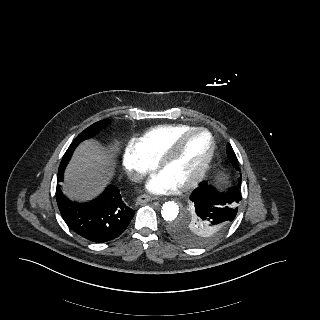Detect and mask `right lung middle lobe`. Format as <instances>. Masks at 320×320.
Instances as JSON below:
<instances>
[{
  "instance_id": "right-lung-middle-lobe-1",
  "label": "right lung middle lobe",
  "mask_w": 320,
  "mask_h": 320,
  "mask_svg": "<svg viewBox=\"0 0 320 320\" xmlns=\"http://www.w3.org/2000/svg\"><path fill=\"white\" fill-rule=\"evenodd\" d=\"M106 125V121H98L94 124H92L91 126H89L88 128H86L83 132H81L76 138L75 140L71 143V145L69 146V148L67 149L66 153L64 154L62 161L60 163L59 169H58V175L63 174L64 169L67 165V163L69 162L73 151L75 150V148L78 146L79 143H81L82 141L89 139L91 137H93L94 135H96L104 126Z\"/></svg>"
}]
</instances>
